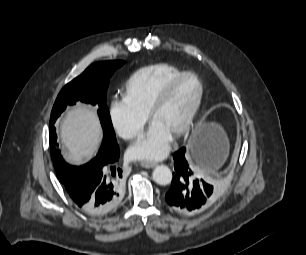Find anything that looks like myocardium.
Here are the masks:
<instances>
[{
  "label": "myocardium",
  "mask_w": 306,
  "mask_h": 255,
  "mask_svg": "<svg viewBox=\"0 0 306 255\" xmlns=\"http://www.w3.org/2000/svg\"><path fill=\"white\" fill-rule=\"evenodd\" d=\"M194 78L198 84L199 87V92L197 95V98L191 107L187 117L185 118L184 122L178 127L173 135L175 136H180L187 132L190 127L193 125L198 112L201 108L203 98H204V85L202 80L199 78V76L193 72H183L180 75L176 76L173 78L161 91L160 93L156 96V98L153 100L151 103L148 112H147V117L150 121H152L154 115L157 113V111L165 104L167 99L170 97L172 92L175 90V88L186 78Z\"/></svg>",
  "instance_id": "obj_1"
}]
</instances>
